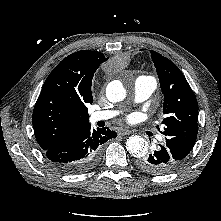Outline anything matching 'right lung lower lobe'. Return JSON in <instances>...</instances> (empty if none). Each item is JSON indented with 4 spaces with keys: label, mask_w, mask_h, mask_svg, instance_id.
Instances as JSON below:
<instances>
[{
    "label": "right lung lower lobe",
    "mask_w": 221,
    "mask_h": 221,
    "mask_svg": "<svg viewBox=\"0 0 221 221\" xmlns=\"http://www.w3.org/2000/svg\"><path fill=\"white\" fill-rule=\"evenodd\" d=\"M116 136V132L107 127L91 130V125H88L44 152L57 170L79 174L92 169L98 163L101 145Z\"/></svg>",
    "instance_id": "98d812e1"
}]
</instances>
